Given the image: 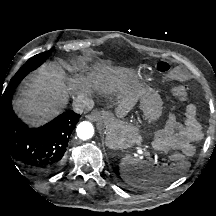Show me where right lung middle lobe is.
<instances>
[{
    "instance_id": "dd1d6c3e",
    "label": "right lung middle lobe",
    "mask_w": 216,
    "mask_h": 216,
    "mask_svg": "<svg viewBox=\"0 0 216 216\" xmlns=\"http://www.w3.org/2000/svg\"><path fill=\"white\" fill-rule=\"evenodd\" d=\"M50 54V51H46L40 54L35 55L34 57L30 58L20 69L19 71L14 75V77L11 79L8 89H14L19 85V83L22 81V79L32 70L39 67L45 60L48 58Z\"/></svg>"
}]
</instances>
